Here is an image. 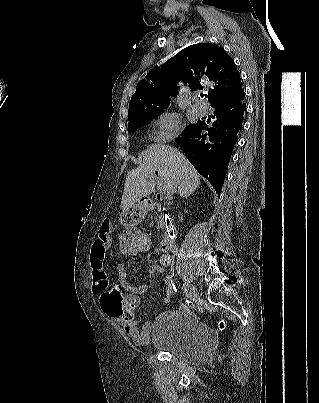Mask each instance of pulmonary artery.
Listing matches in <instances>:
<instances>
[{
  "label": "pulmonary artery",
  "mask_w": 319,
  "mask_h": 403,
  "mask_svg": "<svg viewBox=\"0 0 319 403\" xmlns=\"http://www.w3.org/2000/svg\"><path fill=\"white\" fill-rule=\"evenodd\" d=\"M194 109L196 110L197 113H199L200 115H205L208 113V105L205 104L204 102H197L194 105Z\"/></svg>",
  "instance_id": "pulmonary-artery-1"
}]
</instances>
